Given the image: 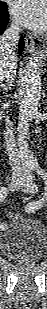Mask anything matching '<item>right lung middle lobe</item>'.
<instances>
[{
  "mask_svg": "<svg viewBox=\"0 0 47 309\" xmlns=\"http://www.w3.org/2000/svg\"><path fill=\"white\" fill-rule=\"evenodd\" d=\"M2 5H4V3H3V2H0V7H1Z\"/></svg>",
  "mask_w": 47,
  "mask_h": 309,
  "instance_id": "obj_1",
  "label": "right lung middle lobe"
}]
</instances>
